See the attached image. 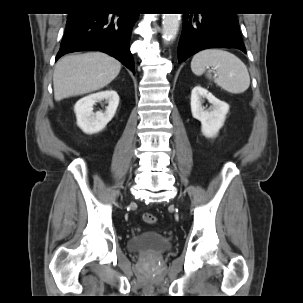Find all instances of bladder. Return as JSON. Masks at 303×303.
Instances as JSON below:
<instances>
[{
    "instance_id": "bladder-1",
    "label": "bladder",
    "mask_w": 303,
    "mask_h": 303,
    "mask_svg": "<svg viewBox=\"0 0 303 303\" xmlns=\"http://www.w3.org/2000/svg\"><path fill=\"white\" fill-rule=\"evenodd\" d=\"M172 247L170 239L150 229L130 237L127 241L128 251L135 253H160Z\"/></svg>"
}]
</instances>
